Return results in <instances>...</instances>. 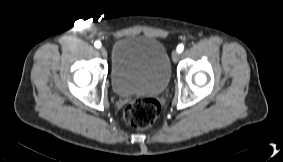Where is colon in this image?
Listing matches in <instances>:
<instances>
[{
	"mask_svg": "<svg viewBox=\"0 0 283 162\" xmlns=\"http://www.w3.org/2000/svg\"><path fill=\"white\" fill-rule=\"evenodd\" d=\"M160 105L153 98H138L130 101L124 110V119L137 129L150 127L158 118Z\"/></svg>",
	"mask_w": 283,
	"mask_h": 162,
	"instance_id": "1",
	"label": "colon"
}]
</instances>
